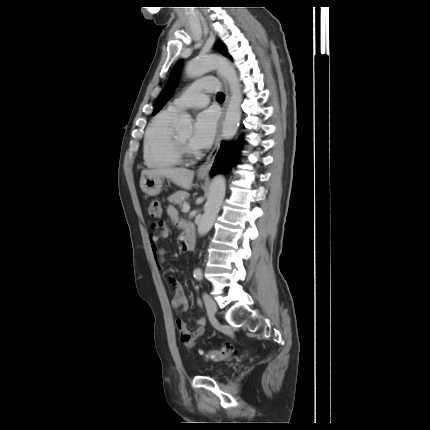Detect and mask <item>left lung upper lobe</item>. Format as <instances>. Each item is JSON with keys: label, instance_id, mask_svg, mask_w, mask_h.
Masks as SVG:
<instances>
[{"label": "left lung upper lobe", "instance_id": "5c2ea615", "mask_svg": "<svg viewBox=\"0 0 430 430\" xmlns=\"http://www.w3.org/2000/svg\"><path fill=\"white\" fill-rule=\"evenodd\" d=\"M217 49L219 50L220 53H222L223 55L230 57V55L227 52L226 46L222 43V42H218L217 43ZM231 58V57H230ZM182 65L183 62L179 61L174 68L171 71L170 74V78L169 81L166 85V90L162 91V93L159 95L156 105H155V109L153 114H156L157 112H159V110L162 108V105L172 96L173 94V90L177 85V80H178V76L181 72L182 69Z\"/></svg>", "mask_w": 430, "mask_h": 430}]
</instances>
